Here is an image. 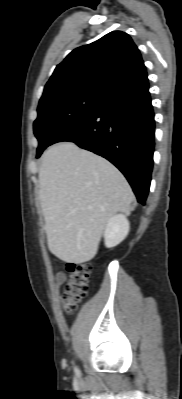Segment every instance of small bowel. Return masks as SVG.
<instances>
[{
	"mask_svg": "<svg viewBox=\"0 0 182 399\" xmlns=\"http://www.w3.org/2000/svg\"><path fill=\"white\" fill-rule=\"evenodd\" d=\"M64 281H65V274L63 272L57 273V275H56V285H57V287L62 286Z\"/></svg>",
	"mask_w": 182,
	"mask_h": 399,
	"instance_id": "small-bowel-1",
	"label": "small bowel"
}]
</instances>
